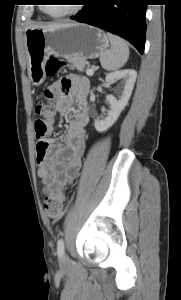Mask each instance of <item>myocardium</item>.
<instances>
[{
	"label": "myocardium",
	"instance_id": "obj_1",
	"mask_svg": "<svg viewBox=\"0 0 181 300\" xmlns=\"http://www.w3.org/2000/svg\"><path fill=\"white\" fill-rule=\"evenodd\" d=\"M79 7H80L79 4H76V5L72 6L71 9H69L68 11L63 12V13H61V14H51V13L47 10L46 6H42V10H43V12H44L46 15H48L49 17L58 19V18H63V17H67V16L73 15L74 13H76V12L78 11Z\"/></svg>",
	"mask_w": 181,
	"mask_h": 300
}]
</instances>
